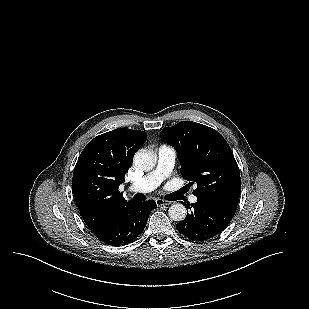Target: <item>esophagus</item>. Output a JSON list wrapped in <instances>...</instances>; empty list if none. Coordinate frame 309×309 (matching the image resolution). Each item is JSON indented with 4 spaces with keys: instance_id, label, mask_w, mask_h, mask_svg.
Wrapping results in <instances>:
<instances>
[{
    "instance_id": "esophagus-1",
    "label": "esophagus",
    "mask_w": 309,
    "mask_h": 309,
    "mask_svg": "<svg viewBox=\"0 0 309 309\" xmlns=\"http://www.w3.org/2000/svg\"><path fill=\"white\" fill-rule=\"evenodd\" d=\"M172 202L170 201H166V200H163V199H156V205L158 207L160 206H165V205H170Z\"/></svg>"
}]
</instances>
